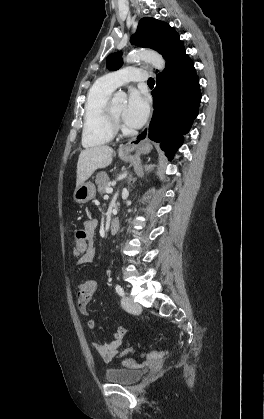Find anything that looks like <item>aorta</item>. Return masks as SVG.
<instances>
[{
  "instance_id": "obj_1",
  "label": "aorta",
  "mask_w": 264,
  "mask_h": 419,
  "mask_svg": "<svg viewBox=\"0 0 264 419\" xmlns=\"http://www.w3.org/2000/svg\"><path fill=\"white\" fill-rule=\"evenodd\" d=\"M140 60L146 61L153 65L158 70H163L165 68V60L163 57L153 50H137L129 53L125 59L127 63H135ZM127 95L124 92H118L112 99L113 103L125 102Z\"/></svg>"
}]
</instances>
